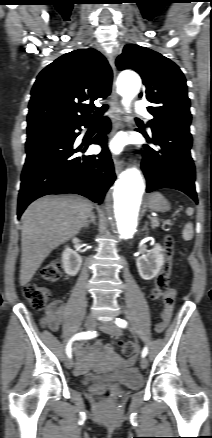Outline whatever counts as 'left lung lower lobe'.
I'll return each mask as SVG.
<instances>
[{
    "label": "left lung lower lobe",
    "instance_id": "left-lung-lower-lobe-1",
    "mask_svg": "<svg viewBox=\"0 0 212 438\" xmlns=\"http://www.w3.org/2000/svg\"><path fill=\"white\" fill-rule=\"evenodd\" d=\"M151 131L152 142L158 149L147 145L144 147L142 169L147 181V192L173 188L186 193L197 202L189 127L155 125L151 127ZM143 135L149 140L145 132Z\"/></svg>",
    "mask_w": 212,
    "mask_h": 438
}]
</instances>
